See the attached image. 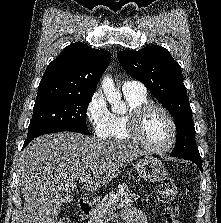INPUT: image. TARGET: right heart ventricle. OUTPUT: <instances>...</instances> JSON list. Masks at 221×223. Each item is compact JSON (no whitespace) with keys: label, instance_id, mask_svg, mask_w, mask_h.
Segmentation results:
<instances>
[{"label":"right heart ventricle","instance_id":"right-heart-ventricle-1","mask_svg":"<svg viewBox=\"0 0 221 223\" xmlns=\"http://www.w3.org/2000/svg\"><path fill=\"white\" fill-rule=\"evenodd\" d=\"M129 106V110L125 114H111V132L109 138L115 142H129L127 127L129 124L130 114L136 107L149 103L146 93H128L124 94Z\"/></svg>","mask_w":221,"mask_h":223}]
</instances>
